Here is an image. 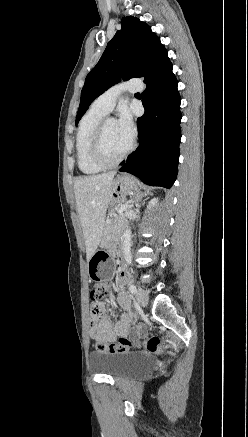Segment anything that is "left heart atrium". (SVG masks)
Instances as JSON below:
<instances>
[{
    "instance_id": "obj_1",
    "label": "left heart atrium",
    "mask_w": 248,
    "mask_h": 437,
    "mask_svg": "<svg viewBox=\"0 0 248 437\" xmlns=\"http://www.w3.org/2000/svg\"><path fill=\"white\" fill-rule=\"evenodd\" d=\"M116 123L122 135L131 141L134 136L135 130H134L132 116L127 109L121 110L120 116L116 121Z\"/></svg>"
}]
</instances>
